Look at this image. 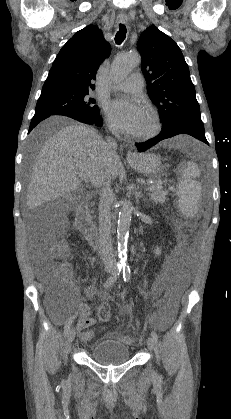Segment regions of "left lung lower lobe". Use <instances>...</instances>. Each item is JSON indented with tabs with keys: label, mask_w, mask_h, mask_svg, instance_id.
<instances>
[{
	"label": "left lung lower lobe",
	"mask_w": 231,
	"mask_h": 419,
	"mask_svg": "<svg viewBox=\"0 0 231 419\" xmlns=\"http://www.w3.org/2000/svg\"><path fill=\"white\" fill-rule=\"evenodd\" d=\"M179 134L191 135L194 138L208 144V141L205 137L204 125L201 120V117L200 116H186L180 119L178 122H176L172 126L162 129L160 134L156 136L155 138L147 142L139 143L135 145L138 151L142 152L152 147L153 145H155L161 140L171 138Z\"/></svg>",
	"instance_id": "left-lung-lower-lobe-1"
}]
</instances>
